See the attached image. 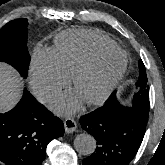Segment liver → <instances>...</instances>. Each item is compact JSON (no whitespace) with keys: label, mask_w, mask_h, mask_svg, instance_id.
I'll return each mask as SVG.
<instances>
[{"label":"liver","mask_w":165,"mask_h":165,"mask_svg":"<svg viewBox=\"0 0 165 165\" xmlns=\"http://www.w3.org/2000/svg\"><path fill=\"white\" fill-rule=\"evenodd\" d=\"M22 82L15 70L0 63V113L13 108L21 98Z\"/></svg>","instance_id":"liver-1"}]
</instances>
